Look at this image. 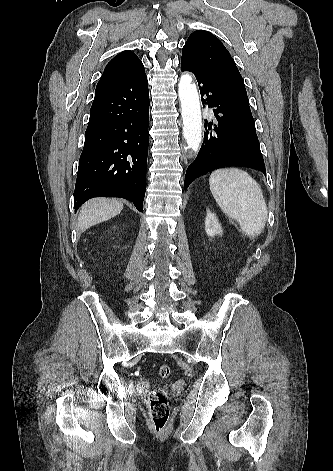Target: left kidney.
I'll list each match as a JSON object with an SVG mask.
<instances>
[{
  "label": "left kidney",
  "instance_id": "left-kidney-1",
  "mask_svg": "<svg viewBox=\"0 0 333 471\" xmlns=\"http://www.w3.org/2000/svg\"><path fill=\"white\" fill-rule=\"evenodd\" d=\"M205 231L208 236L213 237L215 235H222V227L218 222L216 215L207 210L205 218Z\"/></svg>",
  "mask_w": 333,
  "mask_h": 471
}]
</instances>
